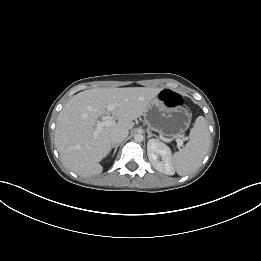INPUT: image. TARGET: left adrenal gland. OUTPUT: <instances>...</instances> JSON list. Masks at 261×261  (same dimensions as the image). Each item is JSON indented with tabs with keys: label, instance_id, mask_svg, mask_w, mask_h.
<instances>
[{
	"label": "left adrenal gland",
	"instance_id": "obj_1",
	"mask_svg": "<svg viewBox=\"0 0 261 261\" xmlns=\"http://www.w3.org/2000/svg\"><path fill=\"white\" fill-rule=\"evenodd\" d=\"M147 133H148V139H149L150 137H152V136H156V135L152 134L149 129H147Z\"/></svg>",
	"mask_w": 261,
	"mask_h": 261
}]
</instances>
